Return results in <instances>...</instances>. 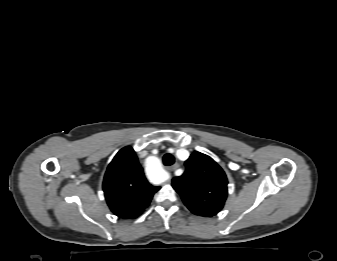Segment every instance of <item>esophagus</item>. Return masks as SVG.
I'll return each instance as SVG.
<instances>
[{"label": "esophagus", "instance_id": "1", "mask_svg": "<svg viewBox=\"0 0 337 261\" xmlns=\"http://www.w3.org/2000/svg\"><path fill=\"white\" fill-rule=\"evenodd\" d=\"M177 168H178V164H174V165H172V166L167 167V170L173 171V170H175V169H177Z\"/></svg>", "mask_w": 337, "mask_h": 261}]
</instances>
